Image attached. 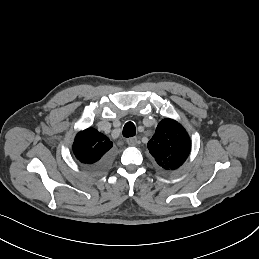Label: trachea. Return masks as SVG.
<instances>
[{"label":"trachea","mask_w":259,"mask_h":259,"mask_svg":"<svg viewBox=\"0 0 259 259\" xmlns=\"http://www.w3.org/2000/svg\"><path fill=\"white\" fill-rule=\"evenodd\" d=\"M123 136L126 138L135 136V126L132 122H127L123 128Z\"/></svg>","instance_id":"trachea-1"}]
</instances>
